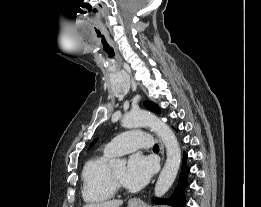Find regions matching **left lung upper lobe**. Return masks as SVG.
I'll use <instances>...</instances> for the list:
<instances>
[{
	"mask_svg": "<svg viewBox=\"0 0 261 207\" xmlns=\"http://www.w3.org/2000/svg\"><path fill=\"white\" fill-rule=\"evenodd\" d=\"M145 106L149 109V110H151V111H153V112H155V113H160V108L155 104V103H152V102H145Z\"/></svg>",
	"mask_w": 261,
	"mask_h": 207,
	"instance_id": "5c2ea615",
	"label": "left lung upper lobe"
}]
</instances>
